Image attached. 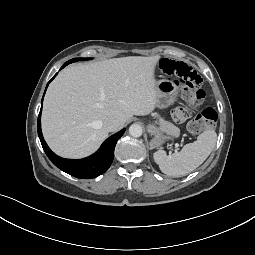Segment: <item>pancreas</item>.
Returning a JSON list of instances; mask_svg holds the SVG:
<instances>
[{"label":"pancreas","mask_w":255,"mask_h":255,"mask_svg":"<svg viewBox=\"0 0 255 255\" xmlns=\"http://www.w3.org/2000/svg\"><path fill=\"white\" fill-rule=\"evenodd\" d=\"M160 125H161V128L164 129L165 131L173 133L177 136L179 135V132H180L179 128L173 125L172 123L161 120Z\"/></svg>","instance_id":"cf45deb5"}]
</instances>
